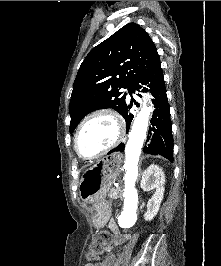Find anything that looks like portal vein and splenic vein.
Here are the masks:
<instances>
[{
    "instance_id": "1",
    "label": "portal vein and splenic vein",
    "mask_w": 221,
    "mask_h": 266,
    "mask_svg": "<svg viewBox=\"0 0 221 266\" xmlns=\"http://www.w3.org/2000/svg\"><path fill=\"white\" fill-rule=\"evenodd\" d=\"M118 186H119L118 184L115 185V187H117V188H118Z\"/></svg>"
}]
</instances>
